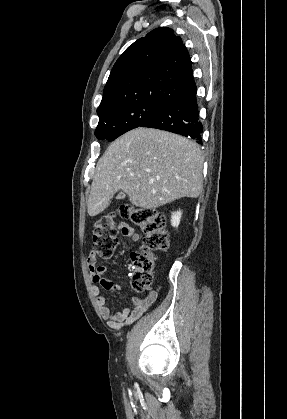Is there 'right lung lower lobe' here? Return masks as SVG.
I'll return each instance as SVG.
<instances>
[{"instance_id": "obj_1", "label": "right lung lower lobe", "mask_w": 287, "mask_h": 419, "mask_svg": "<svg viewBox=\"0 0 287 419\" xmlns=\"http://www.w3.org/2000/svg\"><path fill=\"white\" fill-rule=\"evenodd\" d=\"M196 92L194 90L170 100L140 127L166 130L201 142L203 127L199 120Z\"/></svg>"}]
</instances>
